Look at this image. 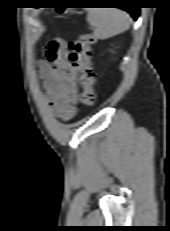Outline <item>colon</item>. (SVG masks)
<instances>
[{
  "label": "colon",
  "instance_id": "obj_1",
  "mask_svg": "<svg viewBox=\"0 0 170 231\" xmlns=\"http://www.w3.org/2000/svg\"><path fill=\"white\" fill-rule=\"evenodd\" d=\"M95 38L92 34H80L76 40L69 43L68 58L72 68L78 74L82 87L80 100L84 105L92 106L96 101L95 74L92 62V47Z\"/></svg>",
  "mask_w": 170,
  "mask_h": 231
}]
</instances>
